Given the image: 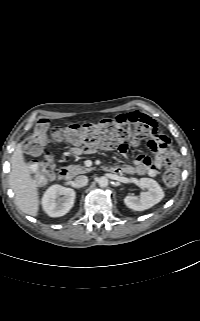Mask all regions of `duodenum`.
<instances>
[{
	"label": "duodenum",
	"instance_id": "1",
	"mask_svg": "<svg viewBox=\"0 0 200 321\" xmlns=\"http://www.w3.org/2000/svg\"><path fill=\"white\" fill-rule=\"evenodd\" d=\"M108 170L111 172H116L115 167H109ZM59 178L61 180H69L71 178V171L66 167L61 168L59 171Z\"/></svg>",
	"mask_w": 200,
	"mask_h": 321
}]
</instances>
